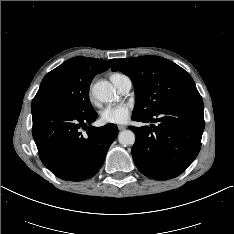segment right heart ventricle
I'll return each instance as SVG.
<instances>
[{"label": "right heart ventricle", "instance_id": "right-heart-ventricle-1", "mask_svg": "<svg viewBox=\"0 0 234 234\" xmlns=\"http://www.w3.org/2000/svg\"><path fill=\"white\" fill-rule=\"evenodd\" d=\"M123 77H125L124 74L116 72V73L111 74L110 79L116 86Z\"/></svg>", "mask_w": 234, "mask_h": 234}]
</instances>
